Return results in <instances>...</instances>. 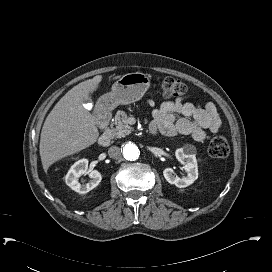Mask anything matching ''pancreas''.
<instances>
[{
	"instance_id": "cf45deb5",
	"label": "pancreas",
	"mask_w": 272,
	"mask_h": 272,
	"mask_svg": "<svg viewBox=\"0 0 272 272\" xmlns=\"http://www.w3.org/2000/svg\"><path fill=\"white\" fill-rule=\"evenodd\" d=\"M128 116L124 111H117L114 118V127H111V136L113 138H120L132 132V127L127 123Z\"/></svg>"
}]
</instances>
